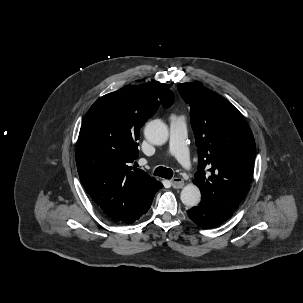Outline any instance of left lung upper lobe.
Instances as JSON below:
<instances>
[{
  "instance_id": "obj_1",
  "label": "left lung upper lobe",
  "mask_w": 303,
  "mask_h": 303,
  "mask_svg": "<svg viewBox=\"0 0 303 303\" xmlns=\"http://www.w3.org/2000/svg\"><path fill=\"white\" fill-rule=\"evenodd\" d=\"M178 91L191 107L198 147L194 183L202 197L220 201L235 211L253 174L255 142L250 127L230 102L202 83H181Z\"/></svg>"
}]
</instances>
